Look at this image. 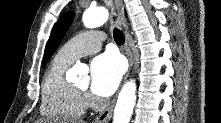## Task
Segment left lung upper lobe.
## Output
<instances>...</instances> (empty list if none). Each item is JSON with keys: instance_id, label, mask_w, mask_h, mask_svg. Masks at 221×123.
Here are the masks:
<instances>
[{"instance_id": "1", "label": "left lung upper lobe", "mask_w": 221, "mask_h": 123, "mask_svg": "<svg viewBox=\"0 0 221 123\" xmlns=\"http://www.w3.org/2000/svg\"><path fill=\"white\" fill-rule=\"evenodd\" d=\"M74 16H75L74 11H68L64 15H62L59 18V20L55 23L45 48L43 66L46 65L49 58L59 47L63 37L65 36L67 30L69 29V27L73 22Z\"/></svg>"}]
</instances>
